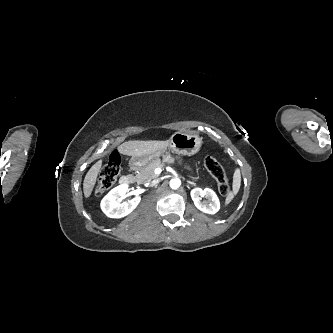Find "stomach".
Wrapping results in <instances>:
<instances>
[{
	"label": "stomach",
	"mask_w": 333,
	"mask_h": 333,
	"mask_svg": "<svg viewBox=\"0 0 333 333\" xmlns=\"http://www.w3.org/2000/svg\"><path fill=\"white\" fill-rule=\"evenodd\" d=\"M169 141V148L172 152H175L179 155H194L196 154L202 146V138L197 134H188L184 132L174 133ZM165 155V149L157 151L156 153L135 157L133 156L129 165L132 169H140L150 163L151 161L163 157Z\"/></svg>",
	"instance_id": "stomach-1"
}]
</instances>
